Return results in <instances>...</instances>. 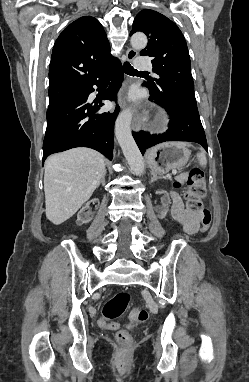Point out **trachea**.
<instances>
[{
    "label": "trachea",
    "mask_w": 249,
    "mask_h": 382,
    "mask_svg": "<svg viewBox=\"0 0 249 382\" xmlns=\"http://www.w3.org/2000/svg\"><path fill=\"white\" fill-rule=\"evenodd\" d=\"M124 72L127 75H137V74H147V72L137 71L135 70L129 62L124 63Z\"/></svg>",
    "instance_id": "1"
}]
</instances>
